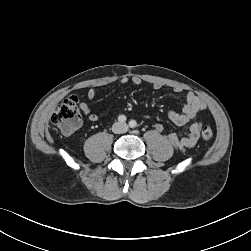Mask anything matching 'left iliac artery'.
Wrapping results in <instances>:
<instances>
[{
	"label": "left iliac artery",
	"instance_id": "1",
	"mask_svg": "<svg viewBox=\"0 0 251 251\" xmlns=\"http://www.w3.org/2000/svg\"><path fill=\"white\" fill-rule=\"evenodd\" d=\"M129 126H130L131 128H135V127L137 126L136 121H135V120L129 121Z\"/></svg>",
	"mask_w": 251,
	"mask_h": 251
}]
</instances>
